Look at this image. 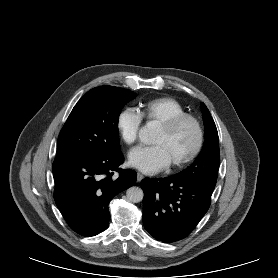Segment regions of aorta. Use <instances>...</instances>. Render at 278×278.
<instances>
[{
    "mask_svg": "<svg viewBox=\"0 0 278 278\" xmlns=\"http://www.w3.org/2000/svg\"><path fill=\"white\" fill-rule=\"evenodd\" d=\"M156 132L157 123L155 121H150L139 130V138L143 143L149 144L153 141ZM126 196L130 202L138 203L142 201L144 193L141 188L133 186L127 190Z\"/></svg>",
    "mask_w": 278,
    "mask_h": 278,
    "instance_id": "obj_1",
    "label": "aorta"
}]
</instances>
